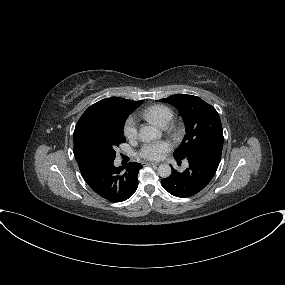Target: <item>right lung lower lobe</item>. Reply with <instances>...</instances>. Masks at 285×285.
<instances>
[{
    "label": "right lung lower lobe",
    "mask_w": 285,
    "mask_h": 285,
    "mask_svg": "<svg viewBox=\"0 0 285 285\" xmlns=\"http://www.w3.org/2000/svg\"><path fill=\"white\" fill-rule=\"evenodd\" d=\"M114 161L89 162L79 164L80 172L90 188L104 199L111 202H121L130 198L138 187V172L140 163H129L115 167Z\"/></svg>",
    "instance_id": "obj_1"
}]
</instances>
